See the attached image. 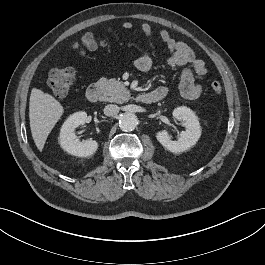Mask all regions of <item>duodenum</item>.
Segmentation results:
<instances>
[{"label": "duodenum", "mask_w": 265, "mask_h": 265, "mask_svg": "<svg viewBox=\"0 0 265 265\" xmlns=\"http://www.w3.org/2000/svg\"><path fill=\"white\" fill-rule=\"evenodd\" d=\"M161 91L144 92L137 96V100L143 104H154L164 98ZM100 97V87L97 84L90 85L86 90V98L89 102L96 103Z\"/></svg>", "instance_id": "obj_1"}]
</instances>
